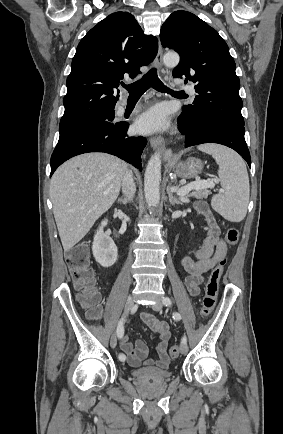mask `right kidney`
I'll return each mask as SVG.
<instances>
[{
    "label": "right kidney",
    "mask_w": 283,
    "mask_h": 434,
    "mask_svg": "<svg viewBox=\"0 0 283 434\" xmlns=\"http://www.w3.org/2000/svg\"><path fill=\"white\" fill-rule=\"evenodd\" d=\"M108 224V220L101 222L93 240V256L95 260L103 267L112 266L118 256L117 247L112 238L104 233L103 228Z\"/></svg>",
    "instance_id": "ca27d5eb"
}]
</instances>
